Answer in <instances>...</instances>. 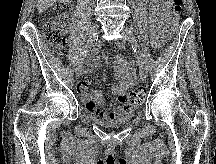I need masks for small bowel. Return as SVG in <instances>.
I'll return each instance as SVG.
<instances>
[{
	"label": "small bowel",
	"instance_id": "small-bowel-1",
	"mask_svg": "<svg viewBox=\"0 0 216 164\" xmlns=\"http://www.w3.org/2000/svg\"><path fill=\"white\" fill-rule=\"evenodd\" d=\"M172 0H150V27L152 31V41L156 47L164 36L165 23L167 21ZM97 57L92 55L85 66V72H91L97 66ZM115 76L118 80L117 84H113L110 88L112 95L116 99L105 105L103 95L100 91H88L91 84L90 78H84L77 83V91L81 100L85 104L86 109L103 120L114 119L125 111L131 109V105L124 101V96L129 88L137 82L136 70L133 63L127 62L123 56H117L114 63Z\"/></svg>",
	"mask_w": 216,
	"mask_h": 164
}]
</instances>
